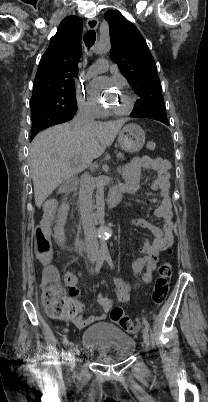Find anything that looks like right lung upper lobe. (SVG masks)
I'll return each instance as SVG.
<instances>
[{
  "instance_id": "cb5924a9",
  "label": "right lung upper lobe",
  "mask_w": 208,
  "mask_h": 402,
  "mask_svg": "<svg viewBox=\"0 0 208 402\" xmlns=\"http://www.w3.org/2000/svg\"><path fill=\"white\" fill-rule=\"evenodd\" d=\"M82 27V20L77 16H69L60 23L57 33L50 39L49 47L40 60L33 93L44 87L73 81L77 76L82 51Z\"/></svg>"
}]
</instances>
